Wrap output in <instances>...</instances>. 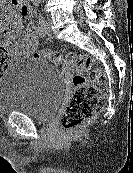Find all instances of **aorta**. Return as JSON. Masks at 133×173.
I'll return each instance as SVG.
<instances>
[{"mask_svg":"<svg viewBox=\"0 0 133 173\" xmlns=\"http://www.w3.org/2000/svg\"><path fill=\"white\" fill-rule=\"evenodd\" d=\"M32 1H34V2H39L40 0H32Z\"/></svg>","mask_w":133,"mask_h":173,"instance_id":"aorta-1","label":"aorta"}]
</instances>
